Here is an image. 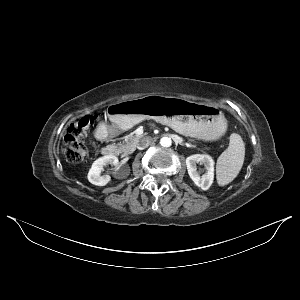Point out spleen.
<instances>
[{"label":"spleen","mask_w":300,"mask_h":300,"mask_svg":"<svg viewBox=\"0 0 300 300\" xmlns=\"http://www.w3.org/2000/svg\"><path fill=\"white\" fill-rule=\"evenodd\" d=\"M245 157V145L239 134L230 135L228 148L218 157L216 179L219 186L231 183L239 174Z\"/></svg>","instance_id":"1"}]
</instances>
